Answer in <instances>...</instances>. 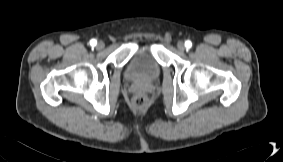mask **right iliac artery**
<instances>
[{
	"label": "right iliac artery",
	"instance_id": "right-iliac-artery-1",
	"mask_svg": "<svg viewBox=\"0 0 283 162\" xmlns=\"http://www.w3.org/2000/svg\"><path fill=\"white\" fill-rule=\"evenodd\" d=\"M97 44V41L95 40V39H92L91 41H90V45L91 46H95Z\"/></svg>",
	"mask_w": 283,
	"mask_h": 162
}]
</instances>
